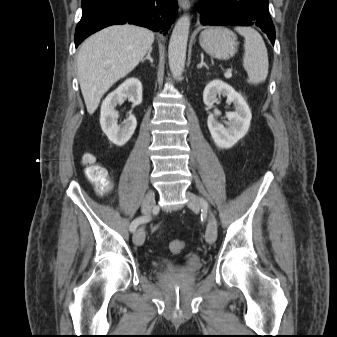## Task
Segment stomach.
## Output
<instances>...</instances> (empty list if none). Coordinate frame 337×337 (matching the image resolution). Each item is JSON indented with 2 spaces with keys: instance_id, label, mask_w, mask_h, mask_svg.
I'll list each match as a JSON object with an SVG mask.
<instances>
[{
  "instance_id": "0dacf381",
  "label": "stomach",
  "mask_w": 337,
  "mask_h": 337,
  "mask_svg": "<svg viewBox=\"0 0 337 337\" xmlns=\"http://www.w3.org/2000/svg\"><path fill=\"white\" fill-rule=\"evenodd\" d=\"M199 42L203 50L217 59L227 60L237 52L236 35L224 27H209L201 32Z\"/></svg>"
}]
</instances>
